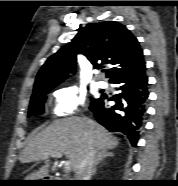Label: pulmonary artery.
<instances>
[{"label": "pulmonary artery", "instance_id": "pulmonary-artery-1", "mask_svg": "<svg viewBox=\"0 0 178 186\" xmlns=\"http://www.w3.org/2000/svg\"><path fill=\"white\" fill-rule=\"evenodd\" d=\"M97 84H98V86H99L100 88H106V87H107V82H106L105 80H103V79L99 80V81L97 82Z\"/></svg>", "mask_w": 178, "mask_h": 186}]
</instances>
